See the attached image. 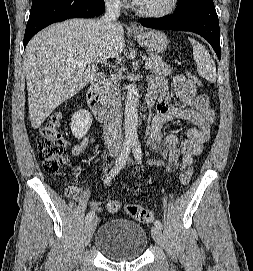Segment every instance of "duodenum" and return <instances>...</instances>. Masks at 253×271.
Instances as JSON below:
<instances>
[{
    "instance_id": "duodenum-1",
    "label": "duodenum",
    "mask_w": 253,
    "mask_h": 271,
    "mask_svg": "<svg viewBox=\"0 0 253 271\" xmlns=\"http://www.w3.org/2000/svg\"><path fill=\"white\" fill-rule=\"evenodd\" d=\"M104 78V73H99L97 77L91 81L87 89V101L90 109L95 114V116L101 121L105 122L108 120V109L103 102L99 88L100 84ZM154 96L151 93H147L145 96V105L150 108L153 104Z\"/></svg>"
}]
</instances>
